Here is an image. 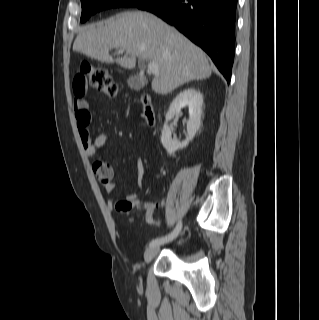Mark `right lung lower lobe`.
I'll use <instances>...</instances> for the list:
<instances>
[{
	"mask_svg": "<svg viewBox=\"0 0 319 320\" xmlns=\"http://www.w3.org/2000/svg\"><path fill=\"white\" fill-rule=\"evenodd\" d=\"M137 7L156 14L200 46L230 82L237 0H152Z\"/></svg>",
	"mask_w": 319,
	"mask_h": 320,
	"instance_id": "obj_1",
	"label": "right lung lower lobe"
}]
</instances>
